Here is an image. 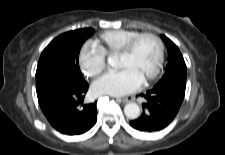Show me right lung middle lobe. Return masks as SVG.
<instances>
[{
    "label": "right lung middle lobe",
    "mask_w": 225,
    "mask_h": 155,
    "mask_svg": "<svg viewBox=\"0 0 225 155\" xmlns=\"http://www.w3.org/2000/svg\"><path fill=\"white\" fill-rule=\"evenodd\" d=\"M93 32L90 28L64 33L44 49L36 70L38 98L59 84L85 82L79 68L78 56L82 44Z\"/></svg>",
    "instance_id": "obj_1"
}]
</instances>
